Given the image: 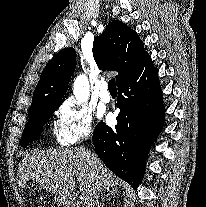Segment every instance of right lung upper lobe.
Masks as SVG:
<instances>
[{
    "mask_svg": "<svg viewBox=\"0 0 206 207\" xmlns=\"http://www.w3.org/2000/svg\"><path fill=\"white\" fill-rule=\"evenodd\" d=\"M93 57L102 70H114L117 84L134 73L149 57L137 33L119 20L109 23L93 42ZM76 66V51L65 48L44 68L33 94L29 112L47 104H59Z\"/></svg>",
    "mask_w": 206,
    "mask_h": 207,
    "instance_id": "obj_1",
    "label": "right lung upper lobe"
}]
</instances>
